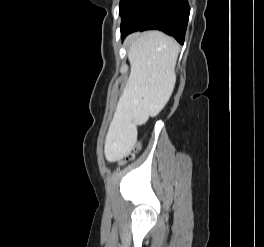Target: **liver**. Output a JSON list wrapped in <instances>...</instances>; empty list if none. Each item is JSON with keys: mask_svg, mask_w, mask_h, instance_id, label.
Wrapping results in <instances>:
<instances>
[{"mask_svg": "<svg viewBox=\"0 0 264 247\" xmlns=\"http://www.w3.org/2000/svg\"><path fill=\"white\" fill-rule=\"evenodd\" d=\"M126 43L131 69L105 139L109 162L131 153L137 142V126L159 114L176 83L180 46L172 37L148 31L131 34Z\"/></svg>", "mask_w": 264, "mask_h": 247, "instance_id": "1", "label": "liver"}]
</instances>
